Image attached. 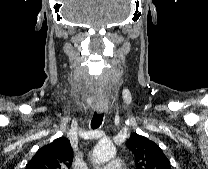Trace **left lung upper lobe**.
<instances>
[{"mask_svg": "<svg viewBox=\"0 0 208 169\" xmlns=\"http://www.w3.org/2000/svg\"><path fill=\"white\" fill-rule=\"evenodd\" d=\"M126 145L135 156L137 169H171L161 148L146 137L133 133Z\"/></svg>", "mask_w": 208, "mask_h": 169, "instance_id": "left-lung-upper-lobe-1", "label": "left lung upper lobe"}]
</instances>
